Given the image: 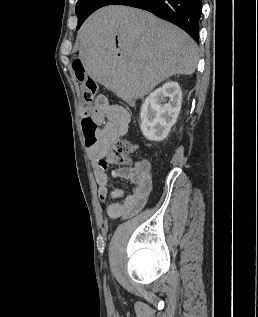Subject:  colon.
<instances>
[{"instance_id":"5ec220e1","label":"colon","mask_w":258,"mask_h":317,"mask_svg":"<svg viewBox=\"0 0 258 317\" xmlns=\"http://www.w3.org/2000/svg\"><path fill=\"white\" fill-rule=\"evenodd\" d=\"M72 67L81 84L83 97L87 104L91 105L97 91V85L86 74L85 68L79 59L73 61ZM103 128L104 125L101 116L89 108L86 109L82 117V132L87 147H95L101 142ZM136 149V145L132 142L118 139L111 145L110 157L117 164H127L130 161L129 155L134 153Z\"/></svg>"}]
</instances>
